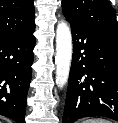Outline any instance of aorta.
Returning <instances> with one entry per match:
<instances>
[{
    "label": "aorta",
    "mask_w": 118,
    "mask_h": 123,
    "mask_svg": "<svg viewBox=\"0 0 118 123\" xmlns=\"http://www.w3.org/2000/svg\"><path fill=\"white\" fill-rule=\"evenodd\" d=\"M72 35L68 24L59 22L56 29V85L62 89L69 78L72 60Z\"/></svg>",
    "instance_id": "aorta-1"
}]
</instances>
